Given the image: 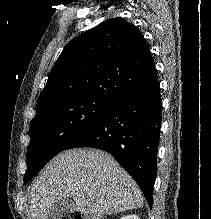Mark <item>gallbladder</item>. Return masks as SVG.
<instances>
[{"label":"gallbladder","instance_id":"1","mask_svg":"<svg viewBox=\"0 0 211 219\" xmlns=\"http://www.w3.org/2000/svg\"><path fill=\"white\" fill-rule=\"evenodd\" d=\"M75 210V202L71 198H63L53 204L48 219H61L65 213H72Z\"/></svg>","mask_w":211,"mask_h":219}]
</instances>
